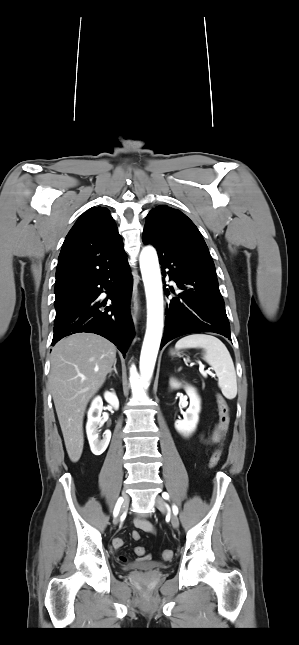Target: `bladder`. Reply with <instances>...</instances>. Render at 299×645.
<instances>
[{
    "label": "bladder",
    "mask_w": 299,
    "mask_h": 645,
    "mask_svg": "<svg viewBox=\"0 0 299 645\" xmlns=\"http://www.w3.org/2000/svg\"><path fill=\"white\" fill-rule=\"evenodd\" d=\"M167 568L166 564L156 561V560H147V561H138L124 565V570H142L149 571L155 569H165Z\"/></svg>",
    "instance_id": "obj_1"
}]
</instances>
